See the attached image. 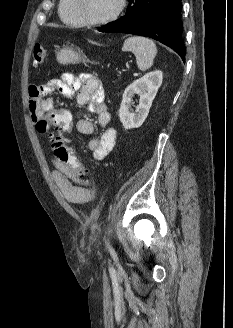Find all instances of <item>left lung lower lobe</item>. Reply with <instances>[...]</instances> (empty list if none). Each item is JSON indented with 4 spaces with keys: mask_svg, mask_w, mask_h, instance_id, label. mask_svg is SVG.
Listing matches in <instances>:
<instances>
[{
    "mask_svg": "<svg viewBox=\"0 0 233 328\" xmlns=\"http://www.w3.org/2000/svg\"><path fill=\"white\" fill-rule=\"evenodd\" d=\"M181 8V0H129L125 16L98 31L148 36L172 48L185 61Z\"/></svg>",
    "mask_w": 233,
    "mask_h": 328,
    "instance_id": "obj_1",
    "label": "left lung lower lobe"
}]
</instances>
